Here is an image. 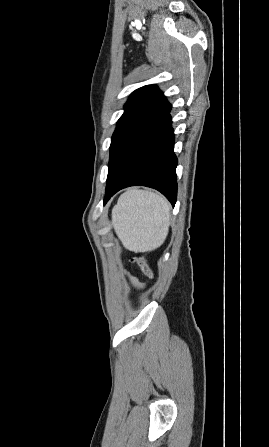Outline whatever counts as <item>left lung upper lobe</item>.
Masks as SVG:
<instances>
[{"mask_svg":"<svg viewBox=\"0 0 269 447\" xmlns=\"http://www.w3.org/2000/svg\"><path fill=\"white\" fill-rule=\"evenodd\" d=\"M171 106L155 85L137 89L129 97L110 145L109 184L142 139L168 114Z\"/></svg>","mask_w":269,"mask_h":447,"instance_id":"left-lung-upper-lobe-1","label":"left lung upper lobe"}]
</instances>
